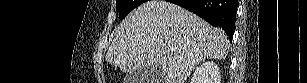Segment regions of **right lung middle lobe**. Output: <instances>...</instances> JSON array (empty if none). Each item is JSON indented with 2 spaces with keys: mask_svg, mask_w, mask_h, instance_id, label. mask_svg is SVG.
Listing matches in <instances>:
<instances>
[{
  "mask_svg": "<svg viewBox=\"0 0 307 83\" xmlns=\"http://www.w3.org/2000/svg\"><path fill=\"white\" fill-rule=\"evenodd\" d=\"M146 2V0H117L116 7L119 11L120 19H123L130 11Z\"/></svg>",
  "mask_w": 307,
  "mask_h": 83,
  "instance_id": "1",
  "label": "right lung middle lobe"
}]
</instances>
